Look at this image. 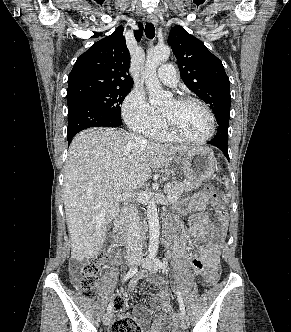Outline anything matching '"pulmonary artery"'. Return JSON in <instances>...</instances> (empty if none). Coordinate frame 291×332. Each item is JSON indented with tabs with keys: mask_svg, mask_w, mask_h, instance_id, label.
I'll use <instances>...</instances> for the list:
<instances>
[{
	"mask_svg": "<svg viewBox=\"0 0 291 332\" xmlns=\"http://www.w3.org/2000/svg\"><path fill=\"white\" fill-rule=\"evenodd\" d=\"M159 80L171 87H175L178 83L179 77L175 67L172 64H164L157 71Z\"/></svg>",
	"mask_w": 291,
	"mask_h": 332,
	"instance_id": "e3ab8cb5",
	"label": "pulmonary artery"
}]
</instances>
